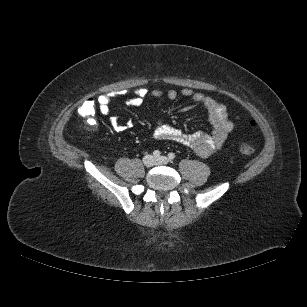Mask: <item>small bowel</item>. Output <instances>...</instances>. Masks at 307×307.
Returning <instances> with one entry per match:
<instances>
[{"label":"small bowel","mask_w":307,"mask_h":307,"mask_svg":"<svg viewBox=\"0 0 307 307\" xmlns=\"http://www.w3.org/2000/svg\"><path fill=\"white\" fill-rule=\"evenodd\" d=\"M181 94L193 101V105L185 107L183 111L189 112L197 109L205 111L212 125V131L210 133L184 134L169 124L159 122L154 128L153 136L158 140H171L189 147L200 157H209L222 148L227 137L233 131L234 124L229 120L226 107L213 98L189 88L183 89ZM147 96L153 98L166 97L169 100H175L178 97V93L173 89L163 92L161 90L148 91L147 89L140 88L134 92L133 97L128 99L127 104L139 107L143 105ZM111 99L112 96L110 94H101L97 97L96 102L101 114L105 116L110 115ZM109 122L116 132H124L132 127L130 122L121 124L114 116L109 117Z\"/></svg>","instance_id":"small-bowel-1"}]
</instances>
